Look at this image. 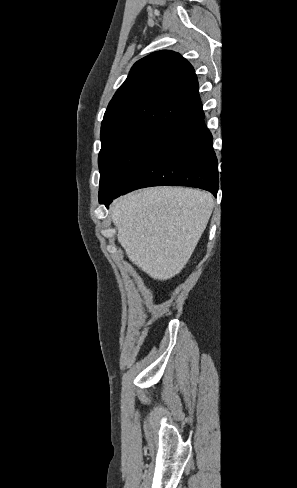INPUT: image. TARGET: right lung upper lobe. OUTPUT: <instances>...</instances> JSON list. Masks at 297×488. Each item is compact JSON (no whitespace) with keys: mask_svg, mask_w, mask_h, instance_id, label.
<instances>
[{"mask_svg":"<svg viewBox=\"0 0 297 488\" xmlns=\"http://www.w3.org/2000/svg\"><path fill=\"white\" fill-rule=\"evenodd\" d=\"M192 65L163 50L134 64L117 90L101 124V141L137 128L174 131L203 113Z\"/></svg>","mask_w":297,"mask_h":488,"instance_id":"cb5924a9","label":"right lung upper lobe"}]
</instances>
